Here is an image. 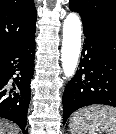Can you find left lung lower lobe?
<instances>
[{"mask_svg":"<svg viewBox=\"0 0 116 134\" xmlns=\"http://www.w3.org/2000/svg\"><path fill=\"white\" fill-rule=\"evenodd\" d=\"M79 69L63 94V124L76 110L103 104L116 107V28L83 23Z\"/></svg>","mask_w":116,"mask_h":134,"instance_id":"1","label":"left lung lower lobe"}]
</instances>
